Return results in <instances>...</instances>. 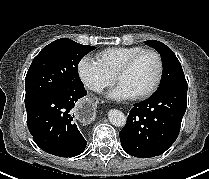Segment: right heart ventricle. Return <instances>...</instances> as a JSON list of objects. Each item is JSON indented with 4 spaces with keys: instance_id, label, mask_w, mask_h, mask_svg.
I'll list each match as a JSON object with an SVG mask.
<instances>
[{
    "instance_id": "e07e8e85",
    "label": "right heart ventricle",
    "mask_w": 209,
    "mask_h": 179,
    "mask_svg": "<svg viewBox=\"0 0 209 179\" xmlns=\"http://www.w3.org/2000/svg\"><path fill=\"white\" fill-rule=\"evenodd\" d=\"M143 49L142 46L106 48L96 54V61L108 75L114 77L117 70L127 59Z\"/></svg>"
}]
</instances>
